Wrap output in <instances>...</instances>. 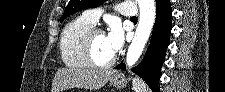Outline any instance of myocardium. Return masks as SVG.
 Returning <instances> with one entry per match:
<instances>
[{
    "instance_id": "1",
    "label": "myocardium",
    "mask_w": 225,
    "mask_h": 92,
    "mask_svg": "<svg viewBox=\"0 0 225 92\" xmlns=\"http://www.w3.org/2000/svg\"><path fill=\"white\" fill-rule=\"evenodd\" d=\"M98 33H104V30L97 26H93L86 31L81 41V51L89 67L95 69H107L114 65L116 58L113 57L110 61L104 64H100L94 59L92 54V44L94 36Z\"/></svg>"
}]
</instances>
